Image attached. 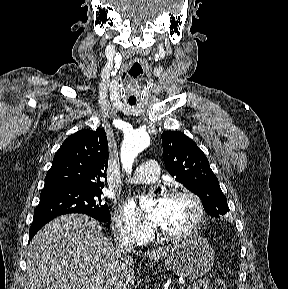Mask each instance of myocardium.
Here are the masks:
<instances>
[{"mask_svg": "<svg viewBox=\"0 0 288 289\" xmlns=\"http://www.w3.org/2000/svg\"><path fill=\"white\" fill-rule=\"evenodd\" d=\"M176 197H187L194 204V207L196 210V216L192 225L188 229L181 231V232H170L162 227H160L158 231L161 235H163L164 237L168 239L182 240V239H186V238H190L194 236L199 231L204 221L205 210H204L203 202L200 199V197L191 190L173 189V190L168 191L164 195V199H172Z\"/></svg>", "mask_w": 288, "mask_h": 289, "instance_id": "1", "label": "myocardium"}]
</instances>
